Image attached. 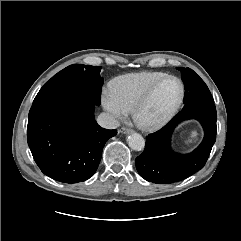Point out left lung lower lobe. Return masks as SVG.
Masks as SVG:
<instances>
[{
	"instance_id": "1",
	"label": "left lung lower lobe",
	"mask_w": 241,
	"mask_h": 241,
	"mask_svg": "<svg viewBox=\"0 0 241 241\" xmlns=\"http://www.w3.org/2000/svg\"><path fill=\"white\" fill-rule=\"evenodd\" d=\"M196 119L204 128V139L190 154L175 153L170 147L174 128L183 120ZM216 108L214 103H200L183 108L159 131L146 138L143 153L135 160L142 178L168 184L182 181L202 169L216 140Z\"/></svg>"
}]
</instances>
